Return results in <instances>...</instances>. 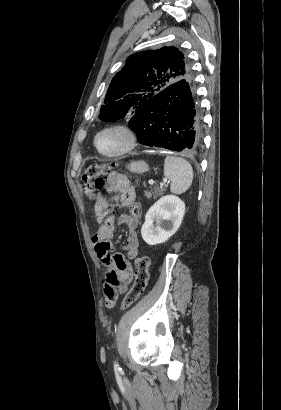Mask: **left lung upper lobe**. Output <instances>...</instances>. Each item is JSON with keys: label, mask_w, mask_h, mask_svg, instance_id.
<instances>
[{"label": "left lung upper lobe", "mask_w": 281, "mask_h": 410, "mask_svg": "<svg viewBox=\"0 0 281 410\" xmlns=\"http://www.w3.org/2000/svg\"><path fill=\"white\" fill-rule=\"evenodd\" d=\"M187 78H192V71L175 47L135 53L112 79L99 118L104 121L131 118L141 113L157 93Z\"/></svg>", "instance_id": "left-lung-upper-lobe-1"}]
</instances>
